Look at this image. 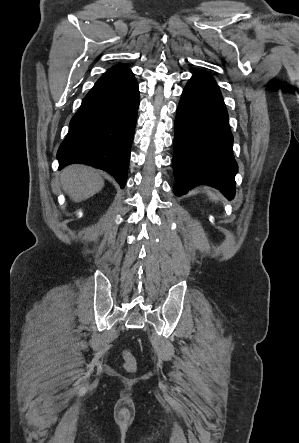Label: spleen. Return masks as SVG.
<instances>
[{
    "instance_id": "3e777b00",
    "label": "spleen",
    "mask_w": 299,
    "mask_h": 443,
    "mask_svg": "<svg viewBox=\"0 0 299 443\" xmlns=\"http://www.w3.org/2000/svg\"><path fill=\"white\" fill-rule=\"evenodd\" d=\"M211 197H212L213 199H216V197H215V196H213V195H211Z\"/></svg>"
}]
</instances>
